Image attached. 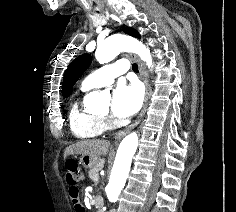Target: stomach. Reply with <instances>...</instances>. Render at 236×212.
Masks as SVG:
<instances>
[{"mask_svg": "<svg viewBox=\"0 0 236 212\" xmlns=\"http://www.w3.org/2000/svg\"><path fill=\"white\" fill-rule=\"evenodd\" d=\"M99 158L91 155H82L80 158V164L86 169H92L98 164Z\"/></svg>", "mask_w": 236, "mask_h": 212, "instance_id": "1", "label": "stomach"}]
</instances>
